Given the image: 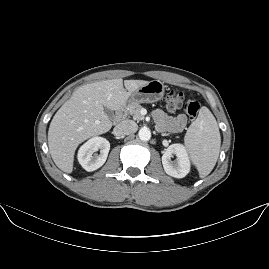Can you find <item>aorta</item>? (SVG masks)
Wrapping results in <instances>:
<instances>
[{
  "label": "aorta",
  "instance_id": "obj_1",
  "mask_svg": "<svg viewBox=\"0 0 269 269\" xmlns=\"http://www.w3.org/2000/svg\"><path fill=\"white\" fill-rule=\"evenodd\" d=\"M139 138L142 140V141H148L150 140L151 138V131L149 128L147 127H142L140 130H139Z\"/></svg>",
  "mask_w": 269,
  "mask_h": 269
}]
</instances>
